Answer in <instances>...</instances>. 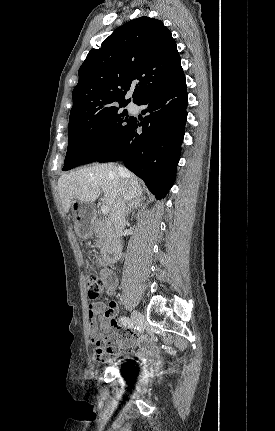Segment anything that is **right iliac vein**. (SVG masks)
Returning a JSON list of instances; mask_svg holds the SVG:
<instances>
[{
    "mask_svg": "<svg viewBox=\"0 0 275 431\" xmlns=\"http://www.w3.org/2000/svg\"><path fill=\"white\" fill-rule=\"evenodd\" d=\"M140 318H141V314L138 311L132 312L131 319L133 324H137Z\"/></svg>",
    "mask_w": 275,
    "mask_h": 431,
    "instance_id": "obj_1",
    "label": "right iliac vein"
}]
</instances>
